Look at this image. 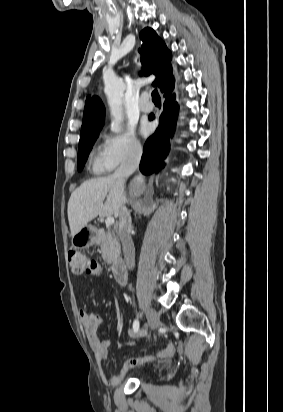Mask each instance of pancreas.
<instances>
[{
  "instance_id": "obj_1",
  "label": "pancreas",
  "mask_w": 283,
  "mask_h": 412,
  "mask_svg": "<svg viewBox=\"0 0 283 412\" xmlns=\"http://www.w3.org/2000/svg\"><path fill=\"white\" fill-rule=\"evenodd\" d=\"M96 244L101 247L102 258L107 264L115 265L120 256V244L114 233L99 229L96 235Z\"/></svg>"
}]
</instances>
